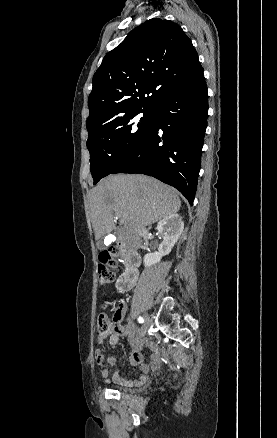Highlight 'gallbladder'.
I'll list each match as a JSON object with an SVG mask.
<instances>
[{"mask_svg": "<svg viewBox=\"0 0 277 438\" xmlns=\"http://www.w3.org/2000/svg\"><path fill=\"white\" fill-rule=\"evenodd\" d=\"M98 248L102 251L104 249V244H102V242H99Z\"/></svg>", "mask_w": 277, "mask_h": 438, "instance_id": "obj_1", "label": "gallbladder"}]
</instances>
